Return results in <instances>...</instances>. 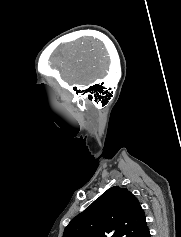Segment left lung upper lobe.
Masks as SVG:
<instances>
[{
  "instance_id": "obj_1",
  "label": "left lung upper lobe",
  "mask_w": 181,
  "mask_h": 237,
  "mask_svg": "<svg viewBox=\"0 0 181 237\" xmlns=\"http://www.w3.org/2000/svg\"><path fill=\"white\" fill-rule=\"evenodd\" d=\"M147 228L137 198L113 186L70 221L63 237H139Z\"/></svg>"
}]
</instances>
